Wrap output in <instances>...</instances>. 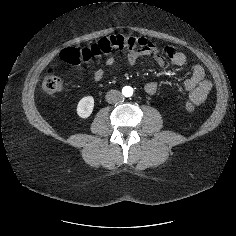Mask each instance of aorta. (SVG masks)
Returning <instances> with one entry per match:
<instances>
[{"mask_svg":"<svg viewBox=\"0 0 236 236\" xmlns=\"http://www.w3.org/2000/svg\"><path fill=\"white\" fill-rule=\"evenodd\" d=\"M122 93H123L124 96L130 97V96H132V94H133V88L130 87V86H125V87L122 89Z\"/></svg>","mask_w":236,"mask_h":236,"instance_id":"aorta-1","label":"aorta"}]
</instances>
